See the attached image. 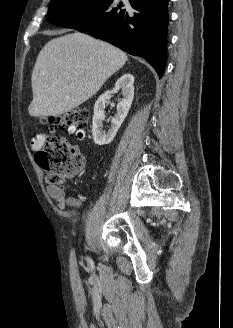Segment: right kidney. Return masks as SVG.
Wrapping results in <instances>:
<instances>
[{"instance_id":"right-kidney-1","label":"right kidney","mask_w":233,"mask_h":328,"mask_svg":"<svg viewBox=\"0 0 233 328\" xmlns=\"http://www.w3.org/2000/svg\"><path fill=\"white\" fill-rule=\"evenodd\" d=\"M134 77L130 73L123 74L115 83V87L110 91H106L96 101L94 106L92 135L95 144L102 146L109 144L116 136L121 124L126 118L131 107L134 97ZM121 89L123 99L117 105V113L111 120V128L108 132L102 131V122L105 119L104 109L107 99L111 98V94L117 93Z\"/></svg>"}]
</instances>
